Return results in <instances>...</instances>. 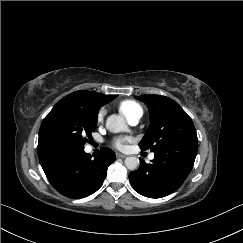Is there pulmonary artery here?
I'll list each match as a JSON object with an SVG mask.
<instances>
[{
  "mask_svg": "<svg viewBox=\"0 0 243 243\" xmlns=\"http://www.w3.org/2000/svg\"><path fill=\"white\" fill-rule=\"evenodd\" d=\"M141 116H142V114H138V115L130 118L128 120L129 124L130 125H133V126L137 125L139 123L140 119H141ZM149 157H150V159H153L154 158V155L151 154Z\"/></svg>",
  "mask_w": 243,
  "mask_h": 243,
  "instance_id": "1",
  "label": "pulmonary artery"
}]
</instances>
